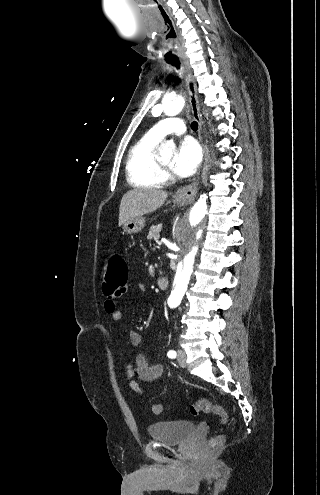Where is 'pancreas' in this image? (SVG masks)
<instances>
[{
	"instance_id": "obj_1",
	"label": "pancreas",
	"mask_w": 320,
	"mask_h": 495,
	"mask_svg": "<svg viewBox=\"0 0 320 495\" xmlns=\"http://www.w3.org/2000/svg\"><path fill=\"white\" fill-rule=\"evenodd\" d=\"M161 228H162L161 224L150 227L148 231L147 239L157 241L160 237Z\"/></svg>"
}]
</instances>
